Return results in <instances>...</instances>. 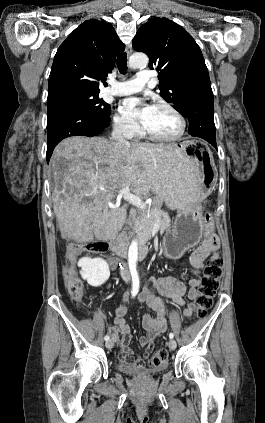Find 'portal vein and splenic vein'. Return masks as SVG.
I'll return each instance as SVG.
<instances>
[{"instance_id": "18ae733b", "label": "portal vein and splenic vein", "mask_w": 265, "mask_h": 423, "mask_svg": "<svg viewBox=\"0 0 265 423\" xmlns=\"http://www.w3.org/2000/svg\"><path fill=\"white\" fill-rule=\"evenodd\" d=\"M117 198L118 199L123 198L124 200H126L130 204L140 208L141 210H148L149 211L148 205L140 197L132 194L130 192L129 187H124L122 190H120L117 194ZM111 207L115 208V206H111Z\"/></svg>"}]
</instances>
